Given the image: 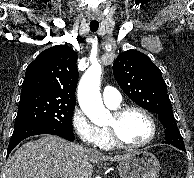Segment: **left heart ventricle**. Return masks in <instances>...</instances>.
I'll return each mask as SVG.
<instances>
[{"instance_id":"1","label":"left heart ventricle","mask_w":194,"mask_h":178,"mask_svg":"<svg viewBox=\"0 0 194 178\" xmlns=\"http://www.w3.org/2000/svg\"><path fill=\"white\" fill-rule=\"evenodd\" d=\"M113 123L111 116L108 122ZM119 131L122 138L129 143H141L151 135V124L147 117L138 111L128 112L120 121Z\"/></svg>"}]
</instances>
